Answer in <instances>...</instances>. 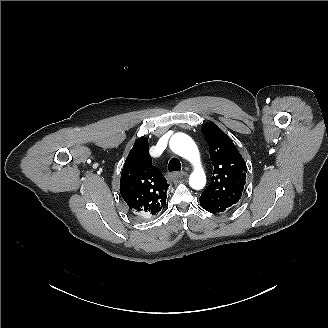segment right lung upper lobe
<instances>
[{"instance_id": "obj_1", "label": "right lung upper lobe", "mask_w": 328, "mask_h": 328, "mask_svg": "<svg viewBox=\"0 0 328 328\" xmlns=\"http://www.w3.org/2000/svg\"><path fill=\"white\" fill-rule=\"evenodd\" d=\"M168 186L152 165L148 140L140 137L127 156L120 180V193L130 212L144 219L157 215L165 206Z\"/></svg>"}]
</instances>
